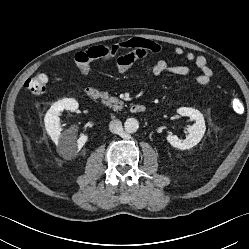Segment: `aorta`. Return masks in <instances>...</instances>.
Here are the masks:
<instances>
[{
  "instance_id": "1",
  "label": "aorta",
  "mask_w": 249,
  "mask_h": 249,
  "mask_svg": "<svg viewBox=\"0 0 249 249\" xmlns=\"http://www.w3.org/2000/svg\"><path fill=\"white\" fill-rule=\"evenodd\" d=\"M124 128L128 133H135L139 128V122L135 118H128L124 123Z\"/></svg>"
}]
</instances>
